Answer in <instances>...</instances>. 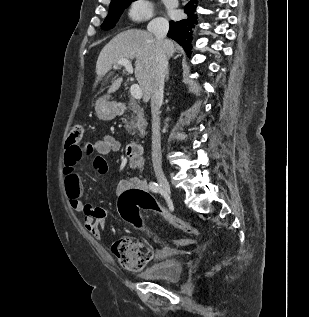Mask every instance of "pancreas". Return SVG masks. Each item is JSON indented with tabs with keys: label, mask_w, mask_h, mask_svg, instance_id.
Here are the masks:
<instances>
[{
	"label": "pancreas",
	"mask_w": 309,
	"mask_h": 317,
	"mask_svg": "<svg viewBox=\"0 0 309 317\" xmlns=\"http://www.w3.org/2000/svg\"><path fill=\"white\" fill-rule=\"evenodd\" d=\"M128 108L132 111V114L131 117L125 119L127 131L134 134L136 129L144 130L147 121L144 117L143 109L133 99L130 100Z\"/></svg>",
	"instance_id": "cf45deb5"
}]
</instances>
